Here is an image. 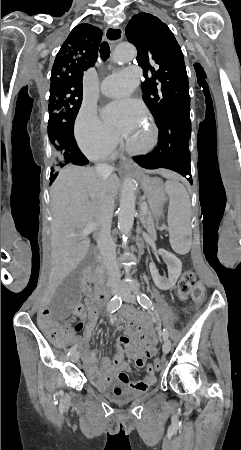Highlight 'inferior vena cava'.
<instances>
[{
    "label": "inferior vena cava",
    "instance_id": "1",
    "mask_svg": "<svg viewBox=\"0 0 241 450\" xmlns=\"http://www.w3.org/2000/svg\"><path fill=\"white\" fill-rule=\"evenodd\" d=\"M95 172L98 176H110L113 172L112 166L108 164H96ZM114 210L113 200H106V214L112 216ZM97 246L101 252L104 266L107 272V284L111 286L113 282L120 280V270L118 262L116 260V246L111 236V220H107L105 224H102L99 232Z\"/></svg>",
    "mask_w": 241,
    "mask_h": 450
}]
</instances>
